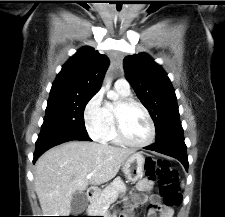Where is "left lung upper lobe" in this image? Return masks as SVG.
<instances>
[{"mask_svg": "<svg viewBox=\"0 0 225 217\" xmlns=\"http://www.w3.org/2000/svg\"><path fill=\"white\" fill-rule=\"evenodd\" d=\"M126 78L149 111L156 129V141L182 132L175 91L161 66L145 54L124 58Z\"/></svg>", "mask_w": 225, "mask_h": 217, "instance_id": "left-lung-upper-lobe-1", "label": "left lung upper lobe"}]
</instances>
